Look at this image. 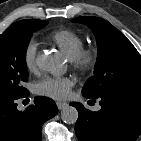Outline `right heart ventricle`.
Instances as JSON below:
<instances>
[{"mask_svg": "<svg viewBox=\"0 0 141 141\" xmlns=\"http://www.w3.org/2000/svg\"><path fill=\"white\" fill-rule=\"evenodd\" d=\"M50 38L69 59L74 57L83 48L84 44L83 38L69 29L54 31Z\"/></svg>", "mask_w": 141, "mask_h": 141, "instance_id": "e07e8e85", "label": "right heart ventricle"}]
</instances>
